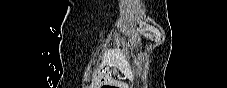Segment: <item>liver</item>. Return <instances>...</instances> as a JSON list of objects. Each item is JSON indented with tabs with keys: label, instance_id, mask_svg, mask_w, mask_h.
I'll return each mask as SVG.
<instances>
[{
	"label": "liver",
	"instance_id": "6515ba94",
	"mask_svg": "<svg viewBox=\"0 0 227 88\" xmlns=\"http://www.w3.org/2000/svg\"><path fill=\"white\" fill-rule=\"evenodd\" d=\"M105 60L110 65H116L118 63H122L127 65V60L125 55L120 50H111L105 54Z\"/></svg>",
	"mask_w": 227,
	"mask_h": 88
}]
</instances>
